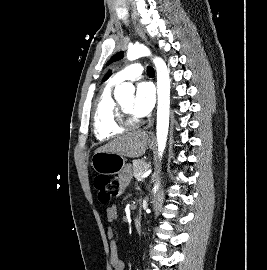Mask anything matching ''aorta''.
Segmentation results:
<instances>
[{
	"mask_svg": "<svg viewBox=\"0 0 267 270\" xmlns=\"http://www.w3.org/2000/svg\"><path fill=\"white\" fill-rule=\"evenodd\" d=\"M150 50L144 45H133L128 48L127 59L133 61L140 57L150 56ZM153 63L157 72V94H158V106H157V144L158 154L162 157L164 152L168 127H169V112H170V78L169 70L166 63L160 57H154ZM135 88L131 83H122L115 88V97L117 99L124 96L133 97ZM158 190V185L153 188L154 193Z\"/></svg>",
	"mask_w": 267,
	"mask_h": 270,
	"instance_id": "aorta-1",
	"label": "aorta"
}]
</instances>
